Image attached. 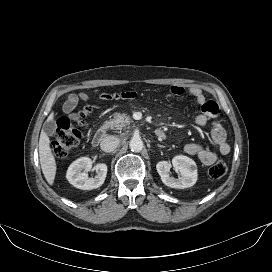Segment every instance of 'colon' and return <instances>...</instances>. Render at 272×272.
Masks as SVG:
<instances>
[{
	"label": "colon",
	"instance_id": "colon-1",
	"mask_svg": "<svg viewBox=\"0 0 272 272\" xmlns=\"http://www.w3.org/2000/svg\"><path fill=\"white\" fill-rule=\"evenodd\" d=\"M89 107H85L80 114H78L77 124L83 123V118L87 115ZM81 139V132L73 123V121L66 116L61 117L57 122V130L51 142V149L55 157L65 158L72 154L79 144ZM228 170L227 164L223 160H216L209 168V174L212 178L223 177Z\"/></svg>",
	"mask_w": 272,
	"mask_h": 272
}]
</instances>
